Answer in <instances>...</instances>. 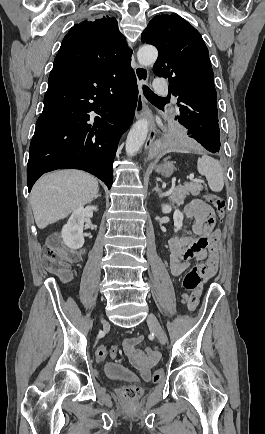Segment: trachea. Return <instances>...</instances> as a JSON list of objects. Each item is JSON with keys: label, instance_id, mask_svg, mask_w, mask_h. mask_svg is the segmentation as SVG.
Returning <instances> with one entry per match:
<instances>
[{"label": "trachea", "instance_id": "3493384b", "mask_svg": "<svg viewBox=\"0 0 265 434\" xmlns=\"http://www.w3.org/2000/svg\"><path fill=\"white\" fill-rule=\"evenodd\" d=\"M143 90H144V93H145L146 95H151V96H153L154 98H158V99L163 100V101H166V100H167V98H163V97H158V96H156V94H154V92H152V90H150L147 86H144V85H143Z\"/></svg>", "mask_w": 265, "mask_h": 434}]
</instances>
